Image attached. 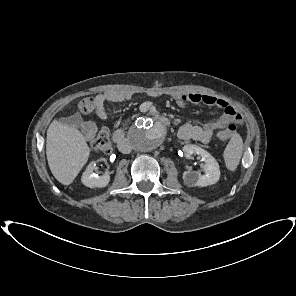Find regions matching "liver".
I'll return each instance as SVG.
<instances>
[{"label": "liver", "mask_w": 296, "mask_h": 296, "mask_svg": "<svg viewBox=\"0 0 296 296\" xmlns=\"http://www.w3.org/2000/svg\"><path fill=\"white\" fill-rule=\"evenodd\" d=\"M90 148L83 134L74 127L57 120L47 130L46 155L54 177L69 185L86 164Z\"/></svg>", "instance_id": "1"}]
</instances>
